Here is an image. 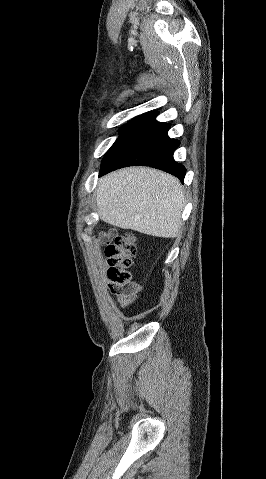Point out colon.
<instances>
[{
	"instance_id": "colon-1",
	"label": "colon",
	"mask_w": 266,
	"mask_h": 479,
	"mask_svg": "<svg viewBox=\"0 0 266 479\" xmlns=\"http://www.w3.org/2000/svg\"><path fill=\"white\" fill-rule=\"evenodd\" d=\"M101 239L106 244L105 255L109 265L111 289L114 292L128 291L132 285L130 267L136 255L134 235L130 232L123 235L108 232L104 233Z\"/></svg>"
}]
</instances>
